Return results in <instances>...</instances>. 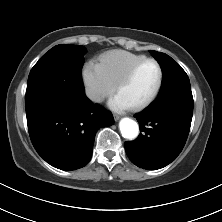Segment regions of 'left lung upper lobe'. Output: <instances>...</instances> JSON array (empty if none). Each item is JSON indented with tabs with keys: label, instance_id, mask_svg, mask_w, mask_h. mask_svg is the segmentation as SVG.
I'll list each match as a JSON object with an SVG mask.
<instances>
[{
	"label": "left lung upper lobe",
	"instance_id": "1",
	"mask_svg": "<svg viewBox=\"0 0 222 222\" xmlns=\"http://www.w3.org/2000/svg\"><path fill=\"white\" fill-rule=\"evenodd\" d=\"M150 53L160 64L163 73L159 96L172 91H191L189 78L178 63L167 54L153 50Z\"/></svg>",
	"mask_w": 222,
	"mask_h": 222
}]
</instances>
